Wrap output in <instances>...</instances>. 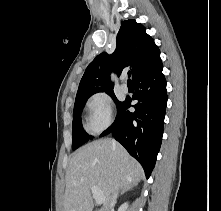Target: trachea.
<instances>
[{"label":"trachea","mask_w":221,"mask_h":211,"mask_svg":"<svg viewBox=\"0 0 221 211\" xmlns=\"http://www.w3.org/2000/svg\"><path fill=\"white\" fill-rule=\"evenodd\" d=\"M130 76H131V72L129 71V72H128V77L130 78ZM128 82H131V80L128 79Z\"/></svg>","instance_id":"1"}]
</instances>
